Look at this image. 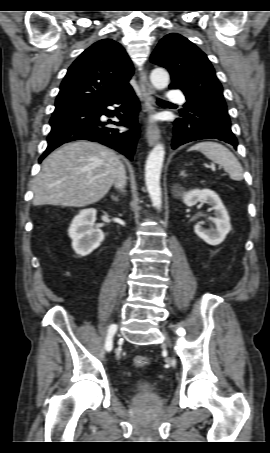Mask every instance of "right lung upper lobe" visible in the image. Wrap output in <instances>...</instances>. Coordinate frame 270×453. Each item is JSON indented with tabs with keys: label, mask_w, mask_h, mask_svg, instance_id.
<instances>
[{
	"label": "right lung upper lobe",
	"mask_w": 270,
	"mask_h": 453,
	"mask_svg": "<svg viewBox=\"0 0 270 453\" xmlns=\"http://www.w3.org/2000/svg\"><path fill=\"white\" fill-rule=\"evenodd\" d=\"M133 65L124 48L103 39L86 49L69 67L55 106L110 98L129 87Z\"/></svg>",
	"instance_id": "cb5924a9"
}]
</instances>
